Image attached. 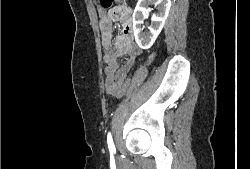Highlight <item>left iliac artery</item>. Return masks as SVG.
Masks as SVG:
<instances>
[{"label": "left iliac artery", "mask_w": 250, "mask_h": 169, "mask_svg": "<svg viewBox=\"0 0 250 169\" xmlns=\"http://www.w3.org/2000/svg\"><path fill=\"white\" fill-rule=\"evenodd\" d=\"M107 143H108V148H109V151L111 152H115L116 149H115V145L113 143V139H112V136H111V133L109 132L108 135H107Z\"/></svg>", "instance_id": "left-iliac-artery-1"}]
</instances>
